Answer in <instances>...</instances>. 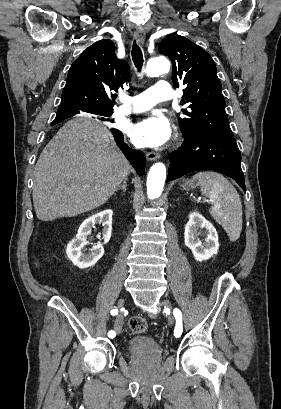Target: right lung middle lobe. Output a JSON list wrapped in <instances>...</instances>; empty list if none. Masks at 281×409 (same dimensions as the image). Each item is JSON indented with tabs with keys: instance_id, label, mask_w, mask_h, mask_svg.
Instances as JSON below:
<instances>
[{
	"instance_id": "1",
	"label": "right lung middle lobe",
	"mask_w": 281,
	"mask_h": 409,
	"mask_svg": "<svg viewBox=\"0 0 281 409\" xmlns=\"http://www.w3.org/2000/svg\"><path fill=\"white\" fill-rule=\"evenodd\" d=\"M112 113H113L112 111H102V112H96V113H93V114H96V115L100 116L102 120L106 121V120H109L108 117H110L112 115ZM59 122H60L59 120H54L51 123V125H55V124H57Z\"/></svg>"
}]
</instances>
